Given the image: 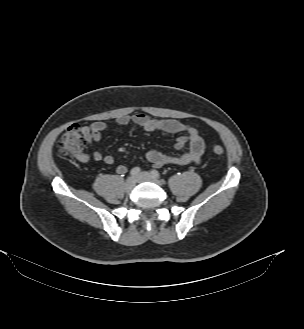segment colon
I'll return each mask as SVG.
<instances>
[{
  "label": "colon",
  "mask_w": 304,
  "mask_h": 329,
  "mask_svg": "<svg viewBox=\"0 0 304 329\" xmlns=\"http://www.w3.org/2000/svg\"><path fill=\"white\" fill-rule=\"evenodd\" d=\"M85 144L86 140L81 127L73 124L66 129L58 141L59 156L78 157L82 154ZM212 151L217 156H222L225 152L224 148L218 144L212 146Z\"/></svg>",
  "instance_id": "1"
}]
</instances>
